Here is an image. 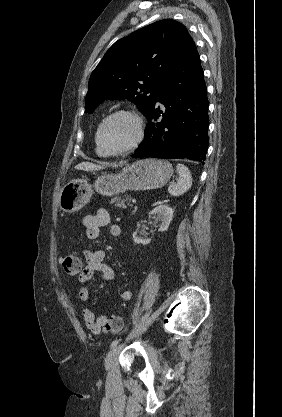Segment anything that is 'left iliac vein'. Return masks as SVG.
Wrapping results in <instances>:
<instances>
[{
    "label": "left iliac vein",
    "mask_w": 282,
    "mask_h": 417,
    "mask_svg": "<svg viewBox=\"0 0 282 417\" xmlns=\"http://www.w3.org/2000/svg\"><path fill=\"white\" fill-rule=\"evenodd\" d=\"M123 347L124 345L120 344L118 346H115L108 352L104 363L106 370H109L113 366Z\"/></svg>",
    "instance_id": "obj_1"
}]
</instances>
